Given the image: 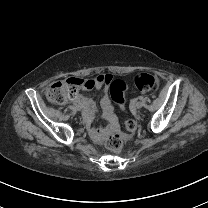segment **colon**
Returning <instances> with one entry per match:
<instances>
[{
    "mask_svg": "<svg viewBox=\"0 0 208 208\" xmlns=\"http://www.w3.org/2000/svg\"><path fill=\"white\" fill-rule=\"evenodd\" d=\"M75 83H73V82ZM95 83L107 84L111 98L121 111L125 110V94L127 92V84L122 79L113 78L112 74H102L97 76L95 80H79L75 78L61 79L52 83L47 90L48 100L55 105H62L71 101L80 88L89 89ZM134 83L138 90L148 93L155 90L157 86L156 79L144 73H139L134 77ZM137 128V123L133 119H128L123 122V129L128 132H133ZM123 138L119 135L110 136L107 139L106 146L112 150H118L122 146Z\"/></svg>",
    "mask_w": 208,
    "mask_h": 208,
    "instance_id": "obj_1",
    "label": "colon"
}]
</instances>
